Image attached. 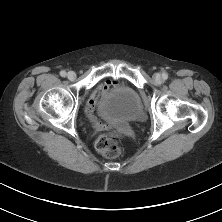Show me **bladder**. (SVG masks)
I'll return each mask as SVG.
<instances>
[{"label": "bladder", "mask_w": 222, "mask_h": 222, "mask_svg": "<svg viewBox=\"0 0 222 222\" xmlns=\"http://www.w3.org/2000/svg\"><path fill=\"white\" fill-rule=\"evenodd\" d=\"M99 114L117 122L145 120V111L139 94L131 87L121 86L109 91L99 105Z\"/></svg>", "instance_id": "bladder-1"}]
</instances>
